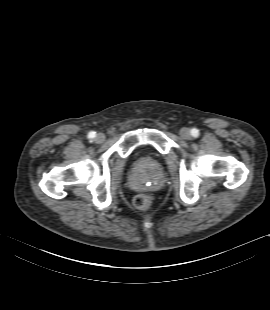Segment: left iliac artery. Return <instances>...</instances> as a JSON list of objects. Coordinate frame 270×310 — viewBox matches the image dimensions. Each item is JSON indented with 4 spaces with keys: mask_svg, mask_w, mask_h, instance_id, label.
I'll use <instances>...</instances> for the list:
<instances>
[{
    "mask_svg": "<svg viewBox=\"0 0 270 310\" xmlns=\"http://www.w3.org/2000/svg\"><path fill=\"white\" fill-rule=\"evenodd\" d=\"M191 134H192L193 137H198L199 131H198L196 128H193V129L191 130Z\"/></svg>",
    "mask_w": 270,
    "mask_h": 310,
    "instance_id": "44dca946",
    "label": "left iliac artery"
}]
</instances>
